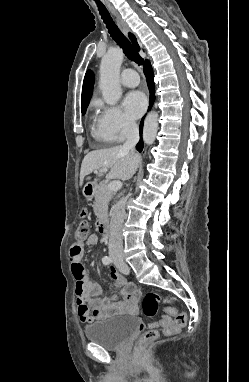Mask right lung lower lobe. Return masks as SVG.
I'll use <instances>...</instances> for the list:
<instances>
[{"mask_svg": "<svg viewBox=\"0 0 249 382\" xmlns=\"http://www.w3.org/2000/svg\"><path fill=\"white\" fill-rule=\"evenodd\" d=\"M144 73L146 75L147 82H148V88L150 91V107H151L155 101V86H154V82H153V70H152V67H151V64L149 61L145 62ZM150 107H149V109H150ZM143 119L144 118H142L141 123H140V134H142V130H143ZM136 148L139 152L142 151V149H143L142 140L139 141V143L136 145Z\"/></svg>", "mask_w": 249, "mask_h": 382, "instance_id": "1", "label": "right lung lower lobe"}]
</instances>
